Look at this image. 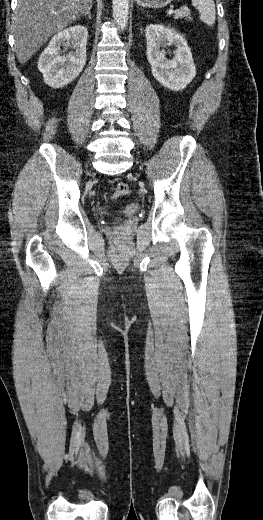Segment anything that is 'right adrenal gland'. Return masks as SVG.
<instances>
[{
  "mask_svg": "<svg viewBox=\"0 0 263 520\" xmlns=\"http://www.w3.org/2000/svg\"><path fill=\"white\" fill-rule=\"evenodd\" d=\"M91 8H92V6L88 9V11H87V12H86L82 17H87V16H88L89 19H92V17H91V13H90Z\"/></svg>",
  "mask_w": 263,
  "mask_h": 520,
  "instance_id": "obj_1",
  "label": "right adrenal gland"
}]
</instances>
